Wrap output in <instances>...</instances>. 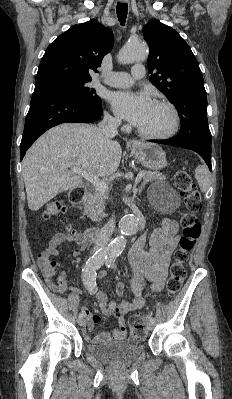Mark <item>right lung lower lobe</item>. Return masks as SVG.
<instances>
[{
  "mask_svg": "<svg viewBox=\"0 0 232 399\" xmlns=\"http://www.w3.org/2000/svg\"><path fill=\"white\" fill-rule=\"evenodd\" d=\"M102 105L81 101L70 91L51 83L35 84L20 145L21 159L45 131L61 123H88L101 119Z\"/></svg>",
  "mask_w": 232,
  "mask_h": 399,
  "instance_id": "right-lung-lower-lobe-1",
  "label": "right lung lower lobe"
}]
</instances>
